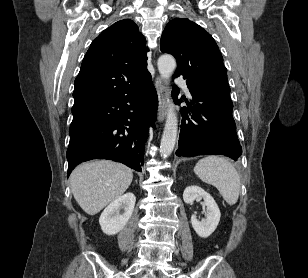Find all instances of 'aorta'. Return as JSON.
Segmentation results:
<instances>
[{
    "mask_svg": "<svg viewBox=\"0 0 308 278\" xmlns=\"http://www.w3.org/2000/svg\"><path fill=\"white\" fill-rule=\"evenodd\" d=\"M157 64L161 77L168 80L176 68L174 57L171 55H162L159 57ZM177 130L178 121L174 110V104L169 102L166 123L160 144V153L163 158L170 156L172 153L176 143Z\"/></svg>",
    "mask_w": 308,
    "mask_h": 278,
    "instance_id": "obj_1",
    "label": "aorta"
}]
</instances>
